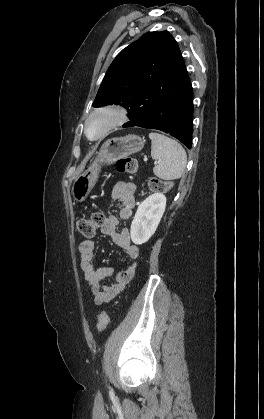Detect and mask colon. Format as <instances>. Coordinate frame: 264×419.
<instances>
[{
	"instance_id": "obj_1",
	"label": "colon",
	"mask_w": 264,
	"mask_h": 419,
	"mask_svg": "<svg viewBox=\"0 0 264 419\" xmlns=\"http://www.w3.org/2000/svg\"><path fill=\"white\" fill-rule=\"evenodd\" d=\"M116 169L121 173L136 174L139 170L138 162L131 157L120 158L116 161ZM149 187L153 192H166L171 183L158 179H152L149 182ZM105 217L102 213H92L83 217L78 222V230L85 237H92L98 228L104 223ZM109 323L108 315L105 311L98 316L97 330L103 332Z\"/></svg>"
}]
</instances>
